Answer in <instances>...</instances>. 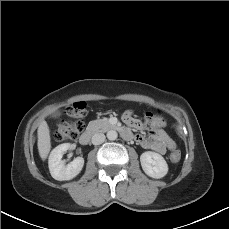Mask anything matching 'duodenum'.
I'll return each mask as SVG.
<instances>
[{
	"mask_svg": "<svg viewBox=\"0 0 229 229\" xmlns=\"http://www.w3.org/2000/svg\"><path fill=\"white\" fill-rule=\"evenodd\" d=\"M114 127L116 128L117 125L115 124ZM121 136L124 139H133V135L131 134V132L125 128L121 129L120 131ZM95 135V129L90 127L88 129H86L79 137V143L81 145H88L92 139V137Z\"/></svg>",
	"mask_w": 229,
	"mask_h": 229,
	"instance_id": "duodenum-1",
	"label": "duodenum"
}]
</instances>
